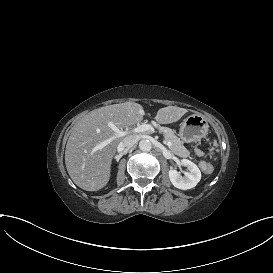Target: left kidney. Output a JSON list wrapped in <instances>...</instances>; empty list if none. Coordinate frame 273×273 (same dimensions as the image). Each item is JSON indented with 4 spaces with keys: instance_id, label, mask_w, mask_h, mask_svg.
I'll return each mask as SVG.
<instances>
[{
    "instance_id": "5707ae66",
    "label": "left kidney",
    "mask_w": 273,
    "mask_h": 273,
    "mask_svg": "<svg viewBox=\"0 0 273 273\" xmlns=\"http://www.w3.org/2000/svg\"><path fill=\"white\" fill-rule=\"evenodd\" d=\"M180 164L187 168L188 171L183 170L184 176L181 172L170 169L168 176L172 185L181 190H189L194 188L201 180V172L199 168L188 159H181Z\"/></svg>"
}]
</instances>
